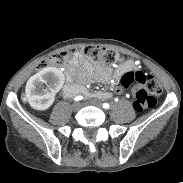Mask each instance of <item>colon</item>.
I'll return each instance as SVG.
<instances>
[{
    "mask_svg": "<svg viewBox=\"0 0 183 183\" xmlns=\"http://www.w3.org/2000/svg\"><path fill=\"white\" fill-rule=\"evenodd\" d=\"M83 55L94 63H102L112 65L122 61V56L118 53L102 48L96 45H88L82 49ZM72 58L70 52H59L48 58H45L37 65V70H44L51 66L64 65ZM133 84L141 85L137 90L133 102L134 108L137 111H145L154 108L158 103V97L162 93L160 83L152 76H144L139 72H126L120 77V83L116 85L114 94L117 97H122L125 90Z\"/></svg>",
    "mask_w": 183,
    "mask_h": 183,
    "instance_id": "1",
    "label": "colon"
}]
</instances>
